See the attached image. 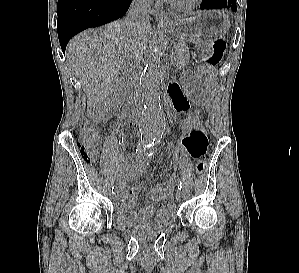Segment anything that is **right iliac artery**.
<instances>
[{"label": "right iliac artery", "mask_w": 299, "mask_h": 273, "mask_svg": "<svg viewBox=\"0 0 299 273\" xmlns=\"http://www.w3.org/2000/svg\"><path fill=\"white\" fill-rule=\"evenodd\" d=\"M147 146H148V144L146 142H140L138 144V147L136 148L135 152L137 154H141L143 151H145V149H146ZM113 190H114V187H112V192H113Z\"/></svg>", "instance_id": "right-iliac-artery-1"}]
</instances>
